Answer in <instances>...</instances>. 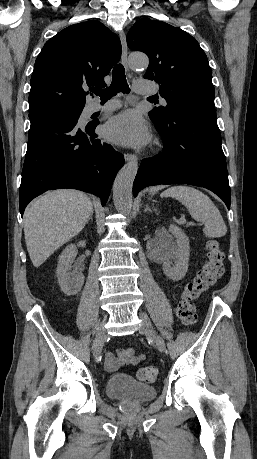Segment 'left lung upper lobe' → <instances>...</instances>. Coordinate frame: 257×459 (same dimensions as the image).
<instances>
[{"label": "left lung upper lobe", "mask_w": 257, "mask_h": 459, "mask_svg": "<svg viewBox=\"0 0 257 459\" xmlns=\"http://www.w3.org/2000/svg\"><path fill=\"white\" fill-rule=\"evenodd\" d=\"M133 51L149 57L144 78L159 83L167 106L149 112L154 121H164L185 107H214V86L208 59L199 43L180 28L143 18L127 34Z\"/></svg>", "instance_id": "left-lung-upper-lobe-1"}]
</instances>
